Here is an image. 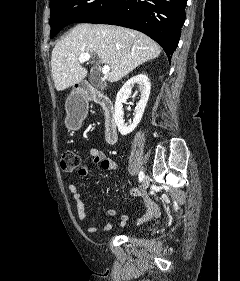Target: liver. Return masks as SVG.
Listing matches in <instances>:
<instances>
[{"mask_svg": "<svg viewBox=\"0 0 240 281\" xmlns=\"http://www.w3.org/2000/svg\"><path fill=\"white\" fill-rule=\"evenodd\" d=\"M89 53L110 67L107 80H121L141 64L157 58L159 45L145 34L113 25L78 24L53 48L51 73L57 91L83 81L87 69L79 56Z\"/></svg>", "mask_w": 240, "mask_h": 281, "instance_id": "6515ba94", "label": "liver"}]
</instances>
